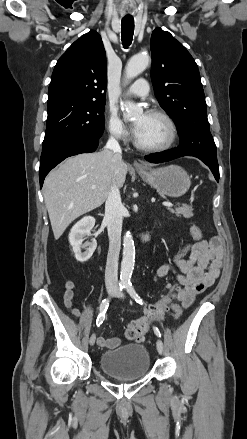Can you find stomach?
<instances>
[{"instance_id":"1","label":"stomach","mask_w":247,"mask_h":439,"mask_svg":"<svg viewBox=\"0 0 247 439\" xmlns=\"http://www.w3.org/2000/svg\"><path fill=\"white\" fill-rule=\"evenodd\" d=\"M141 178L157 191L173 198L183 196L190 188L188 173L178 165L137 170Z\"/></svg>"}]
</instances>
